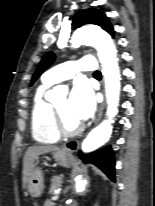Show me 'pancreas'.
Wrapping results in <instances>:
<instances>
[{"instance_id":"obj_1","label":"pancreas","mask_w":155,"mask_h":206,"mask_svg":"<svg viewBox=\"0 0 155 206\" xmlns=\"http://www.w3.org/2000/svg\"><path fill=\"white\" fill-rule=\"evenodd\" d=\"M50 193H53L62 183V176H53L51 179Z\"/></svg>"}]
</instances>
